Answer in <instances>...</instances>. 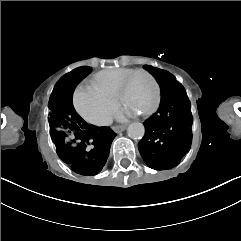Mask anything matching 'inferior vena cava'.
Masks as SVG:
<instances>
[{"label": "inferior vena cava", "instance_id": "602c4592", "mask_svg": "<svg viewBox=\"0 0 241 241\" xmlns=\"http://www.w3.org/2000/svg\"><path fill=\"white\" fill-rule=\"evenodd\" d=\"M111 123H112V119H110L109 121L95 123V125H97V126H107V125H110Z\"/></svg>", "mask_w": 241, "mask_h": 241}]
</instances>
